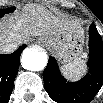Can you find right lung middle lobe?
<instances>
[{"mask_svg":"<svg viewBox=\"0 0 103 103\" xmlns=\"http://www.w3.org/2000/svg\"><path fill=\"white\" fill-rule=\"evenodd\" d=\"M15 8H9V9H0V17H2L6 13H10L14 11Z\"/></svg>","mask_w":103,"mask_h":103,"instance_id":"obj_1","label":"right lung middle lobe"}]
</instances>
